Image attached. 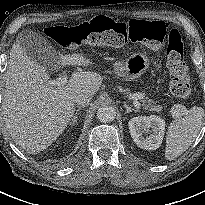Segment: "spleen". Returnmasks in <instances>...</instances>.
Masks as SVG:
<instances>
[{
	"label": "spleen",
	"mask_w": 205,
	"mask_h": 205,
	"mask_svg": "<svg viewBox=\"0 0 205 205\" xmlns=\"http://www.w3.org/2000/svg\"><path fill=\"white\" fill-rule=\"evenodd\" d=\"M202 107H192L183 118L172 121L168 127L165 158L173 160L186 151L196 139L204 117Z\"/></svg>",
	"instance_id": "spleen-1"
}]
</instances>
